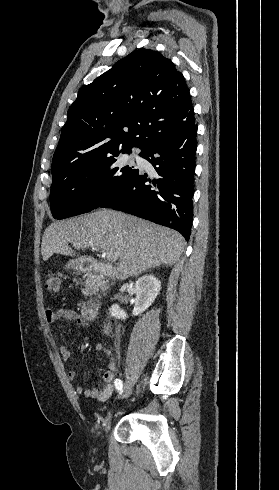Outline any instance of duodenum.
Returning a JSON list of instances; mask_svg holds the SVG:
<instances>
[{
	"label": "duodenum",
	"instance_id": "obj_1",
	"mask_svg": "<svg viewBox=\"0 0 279 490\" xmlns=\"http://www.w3.org/2000/svg\"><path fill=\"white\" fill-rule=\"evenodd\" d=\"M82 269L85 271L97 272L104 277L112 278L115 275L114 268L105 262H100L96 260H86L81 265ZM98 303L94 300H88L84 303L82 309V315L87 320H93L98 312Z\"/></svg>",
	"mask_w": 279,
	"mask_h": 490
}]
</instances>
